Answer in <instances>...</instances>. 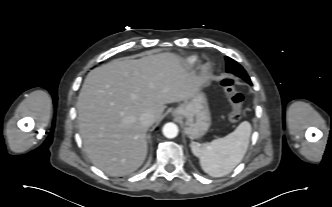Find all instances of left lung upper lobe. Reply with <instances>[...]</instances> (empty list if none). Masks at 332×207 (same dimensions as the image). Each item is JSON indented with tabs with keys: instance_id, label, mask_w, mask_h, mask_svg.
<instances>
[{
	"instance_id": "5c2ea615",
	"label": "left lung upper lobe",
	"mask_w": 332,
	"mask_h": 207,
	"mask_svg": "<svg viewBox=\"0 0 332 207\" xmlns=\"http://www.w3.org/2000/svg\"><path fill=\"white\" fill-rule=\"evenodd\" d=\"M225 59H226V69L228 73L241 77L246 82L251 84L249 76L247 75L246 71L243 69V67L240 64H238L236 61L227 56L225 57Z\"/></svg>"
}]
</instances>
